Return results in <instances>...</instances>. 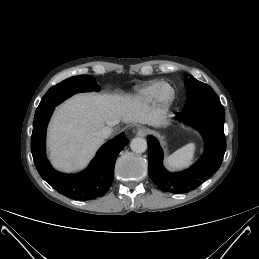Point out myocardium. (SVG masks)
Listing matches in <instances>:
<instances>
[{
	"label": "myocardium",
	"instance_id": "myocardium-1",
	"mask_svg": "<svg viewBox=\"0 0 259 259\" xmlns=\"http://www.w3.org/2000/svg\"><path fill=\"white\" fill-rule=\"evenodd\" d=\"M176 97L175 88L167 82L161 83L157 89L155 100L158 104L168 107L172 105Z\"/></svg>",
	"mask_w": 259,
	"mask_h": 259
}]
</instances>
